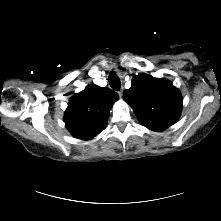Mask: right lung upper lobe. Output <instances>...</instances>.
<instances>
[{
  "mask_svg": "<svg viewBox=\"0 0 221 221\" xmlns=\"http://www.w3.org/2000/svg\"><path fill=\"white\" fill-rule=\"evenodd\" d=\"M118 94L107 87L88 85L71 97L65 112V123L72 135L89 140L105 129L109 111Z\"/></svg>",
  "mask_w": 221,
  "mask_h": 221,
  "instance_id": "cb5924a9",
  "label": "right lung upper lobe"
}]
</instances>
